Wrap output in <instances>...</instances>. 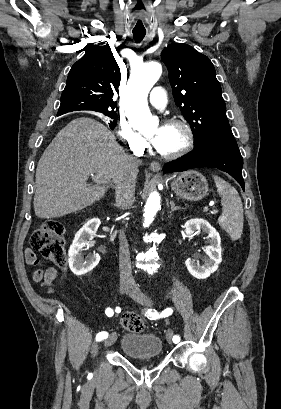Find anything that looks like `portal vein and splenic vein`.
<instances>
[{"label": "portal vein and splenic vein", "instance_id": "1", "mask_svg": "<svg viewBox=\"0 0 281 409\" xmlns=\"http://www.w3.org/2000/svg\"><path fill=\"white\" fill-rule=\"evenodd\" d=\"M108 180H109V178H107L106 176H99L97 181H98L99 185H106L107 188H112L113 187V182L108 181ZM212 213L216 214L217 210L213 209Z\"/></svg>", "mask_w": 281, "mask_h": 409}]
</instances>
